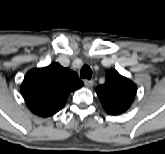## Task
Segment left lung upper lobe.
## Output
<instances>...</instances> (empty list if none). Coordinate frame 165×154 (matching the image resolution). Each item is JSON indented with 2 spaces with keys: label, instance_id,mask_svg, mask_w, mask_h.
<instances>
[{
  "label": "left lung upper lobe",
  "instance_id": "obj_1",
  "mask_svg": "<svg viewBox=\"0 0 165 154\" xmlns=\"http://www.w3.org/2000/svg\"><path fill=\"white\" fill-rule=\"evenodd\" d=\"M96 92L105 111L111 115H118L130 107L136 94V86L116 70L110 69L105 83L98 86Z\"/></svg>",
  "mask_w": 165,
  "mask_h": 154
}]
</instances>
